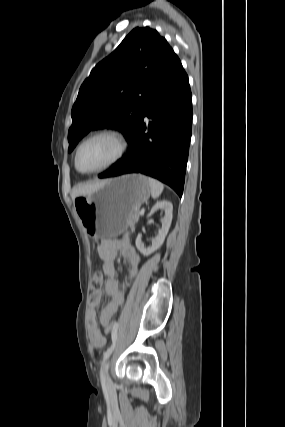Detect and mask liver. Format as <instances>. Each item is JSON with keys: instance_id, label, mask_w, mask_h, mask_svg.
Here are the masks:
<instances>
[{"instance_id": "1", "label": "liver", "mask_w": 285, "mask_h": 427, "mask_svg": "<svg viewBox=\"0 0 285 427\" xmlns=\"http://www.w3.org/2000/svg\"><path fill=\"white\" fill-rule=\"evenodd\" d=\"M107 180L96 181L92 183L79 184L75 186L72 190L71 197L74 200L78 196H85L94 193L99 188H101Z\"/></svg>"}]
</instances>
